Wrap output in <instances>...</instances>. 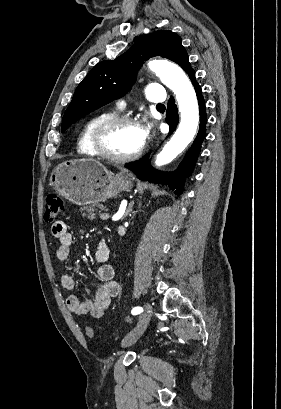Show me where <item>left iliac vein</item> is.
<instances>
[{
	"label": "left iliac vein",
	"instance_id": "4c4485c4",
	"mask_svg": "<svg viewBox=\"0 0 281 409\" xmlns=\"http://www.w3.org/2000/svg\"><path fill=\"white\" fill-rule=\"evenodd\" d=\"M144 306L148 311H150V304L146 303ZM149 320L150 314L148 313H145L140 317L135 329L124 338L122 342L123 348L129 347L136 342V340L144 333L145 329L147 328Z\"/></svg>",
	"mask_w": 281,
	"mask_h": 409
}]
</instances>
